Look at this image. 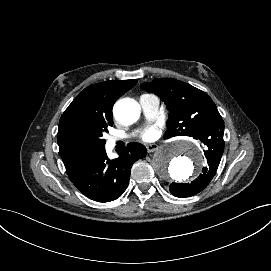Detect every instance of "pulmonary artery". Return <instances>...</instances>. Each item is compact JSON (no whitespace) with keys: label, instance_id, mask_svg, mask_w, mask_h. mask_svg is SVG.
I'll list each match as a JSON object with an SVG mask.
<instances>
[{"label":"pulmonary artery","instance_id":"1","mask_svg":"<svg viewBox=\"0 0 271 271\" xmlns=\"http://www.w3.org/2000/svg\"><path fill=\"white\" fill-rule=\"evenodd\" d=\"M139 103L145 117L148 120H154L157 117L160 106V101L158 97H156L155 95L143 94L139 98ZM128 137V135H110L105 137V149L107 151H110L115 146L117 141L123 140Z\"/></svg>","mask_w":271,"mask_h":271}]
</instances>
